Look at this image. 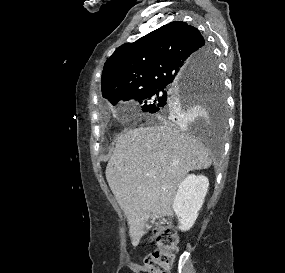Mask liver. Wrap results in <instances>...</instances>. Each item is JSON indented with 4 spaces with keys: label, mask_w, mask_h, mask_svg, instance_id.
Here are the masks:
<instances>
[{
    "label": "liver",
    "mask_w": 285,
    "mask_h": 273,
    "mask_svg": "<svg viewBox=\"0 0 285 273\" xmlns=\"http://www.w3.org/2000/svg\"><path fill=\"white\" fill-rule=\"evenodd\" d=\"M211 164L210 153L199 140L167 122L128 130L117 138L106 179L128 219L134 246L150 216L172 215V202L185 175Z\"/></svg>",
    "instance_id": "6515ba94"
}]
</instances>
